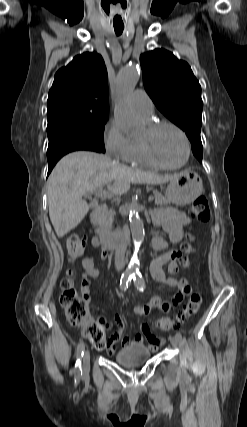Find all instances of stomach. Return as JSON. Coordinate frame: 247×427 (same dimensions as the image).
Listing matches in <instances>:
<instances>
[{
  "mask_svg": "<svg viewBox=\"0 0 247 427\" xmlns=\"http://www.w3.org/2000/svg\"><path fill=\"white\" fill-rule=\"evenodd\" d=\"M202 192L203 183L200 176L192 170H185L169 181L166 198L178 206H185L193 203Z\"/></svg>",
  "mask_w": 247,
  "mask_h": 427,
  "instance_id": "obj_1",
  "label": "stomach"
}]
</instances>
